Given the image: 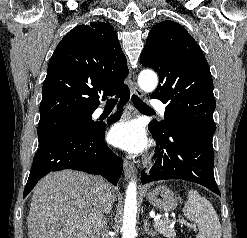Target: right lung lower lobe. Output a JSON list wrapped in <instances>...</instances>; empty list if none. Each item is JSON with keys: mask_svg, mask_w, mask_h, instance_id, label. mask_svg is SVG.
<instances>
[{"mask_svg": "<svg viewBox=\"0 0 247 238\" xmlns=\"http://www.w3.org/2000/svg\"><path fill=\"white\" fill-rule=\"evenodd\" d=\"M118 96L121 98L118 107L121 108L129 98V88L120 91ZM120 116L121 114L111 116L108 124L119 120ZM105 130V124L96 123L87 132L65 133L39 144L23 198L49 172L69 168L102 175L116 186L122 174L123 163L104 142Z\"/></svg>", "mask_w": 247, "mask_h": 238, "instance_id": "98d812e1", "label": "right lung lower lobe"}]
</instances>
